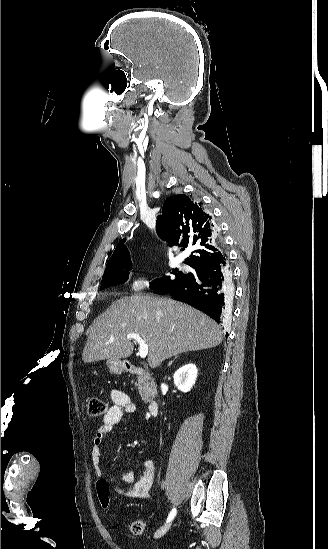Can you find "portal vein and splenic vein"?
<instances>
[{"label":"portal vein and splenic vein","instance_id":"18ae733b","mask_svg":"<svg viewBox=\"0 0 328 549\" xmlns=\"http://www.w3.org/2000/svg\"><path fill=\"white\" fill-rule=\"evenodd\" d=\"M126 339H134V341H137L139 345V357L141 359H145L148 355L149 347L146 345V341L140 337V335H136V333H130V335H126ZM109 343H114V341H109Z\"/></svg>","mask_w":328,"mask_h":549}]
</instances>
